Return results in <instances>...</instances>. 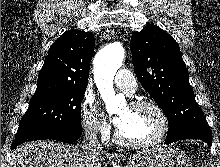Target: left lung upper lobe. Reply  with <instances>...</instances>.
Instances as JSON below:
<instances>
[{
	"mask_svg": "<svg viewBox=\"0 0 220 167\" xmlns=\"http://www.w3.org/2000/svg\"><path fill=\"white\" fill-rule=\"evenodd\" d=\"M130 47L138 80L167 116V139L209 130L174 38L150 24L132 34Z\"/></svg>",
	"mask_w": 220,
	"mask_h": 167,
	"instance_id": "left-lung-upper-lobe-1",
	"label": "left lung upper lobe"
}]
</instances>
